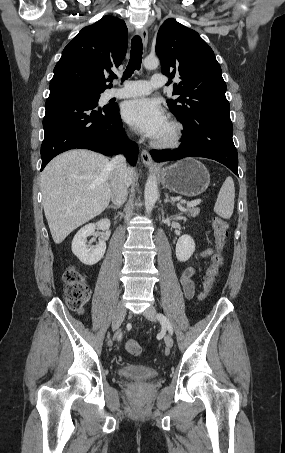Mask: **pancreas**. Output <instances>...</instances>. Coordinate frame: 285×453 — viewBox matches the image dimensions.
I'll use <instances>...</instances> for the list:
<instances>
[{
	"instance_id": "pancreas-1",
	"label": "pancreas",
	"mask_w": 285,
	"mask_h": 453,
	"mask_svg": "<svg viewBox=\"0 0 285 453\" xmlns=\"http://www.w3.org/2000/svg\"><path fill=\"white\" fill-rule=\"evenodd\" d=\"M184 212L188 216L196 217L200 213V209L199 208H195V207H189V208L185 209Z\"/></svg>"
}]
</instances>
